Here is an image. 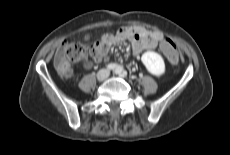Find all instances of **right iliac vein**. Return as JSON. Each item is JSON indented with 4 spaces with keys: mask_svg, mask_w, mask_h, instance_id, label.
<instances>
[{
    "mask_svg": "<svg viewBox=\"0 0 230 155\" xmlns=\"http://www.w3.org/2000/svg\"><path fill=\"white\" fill-rule=\"evenodd\" d=\"M97 79L99 81H103L105 79V73H104V71H101L100 73H98Z\"/></svg>",
    "mask_w": 230,
    "mask_h": 155,
    "instance_id": "63e3f726",
    "label": "right iliac vein"
}]
</instances>
